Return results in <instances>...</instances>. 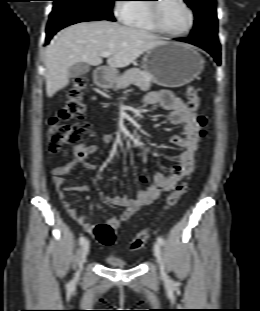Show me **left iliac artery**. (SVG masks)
Wrapping results in <instances>:
<instances>
[{"mask_svg":"<svg viewBox=\"0 0 260 311\" xmlns=\"http://www.w3.org/2000/svg\"><path fill=\"white\" fill-rule=\"evenodd\" d=\"M157 240L160 245L164 244V239L161 236H159Z\"/></svg>","mask_w":260,"mask_h":311,"instance_id":"44dca946","label":"left iliac artery"}]
</instances>
